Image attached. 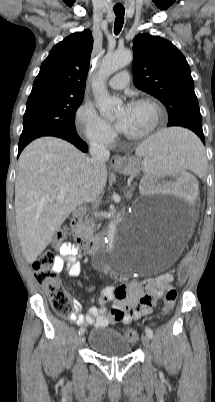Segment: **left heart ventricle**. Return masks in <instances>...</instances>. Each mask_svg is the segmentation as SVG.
<instances>
[{"label": "left heart ventricle", "instance_id": "1", "mask_svg": "<svg viewBox=\"0 0 215 402\" xmlns=\"http://www.w3.org/2000/svg\"><path fill=\"white\" fill-rule=\"evenodd\" d=\"M123 108L120 110L121 114ZM153 120V111L150 106L142 104L129 106V123L125 134L134 135L144 132Z\"/></svg>", "mask_w": 215, "mask_h": 402}]
</instances>
